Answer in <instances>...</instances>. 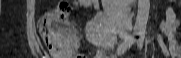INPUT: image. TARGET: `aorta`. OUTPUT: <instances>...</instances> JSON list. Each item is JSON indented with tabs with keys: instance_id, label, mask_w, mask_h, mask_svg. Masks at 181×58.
I'll return each instance as SVG.
<instances>
[{
	"instance_id": "aorta-1",
	"label": "aorta",
	"mask_w": 181,
	"mask_h": 58,
	"mask_svg": "<svg viewBox=\"0 0 181 58\" xmlns=\"http://www.w3.org/2000/svg\"><path fill=\"white\" fill-rule=\"evenodd\" d=\"M149 10H150V0H138V10L134 26V32L136 33L145 32L149 17Z\"/></svg>"
}]
</instances>
